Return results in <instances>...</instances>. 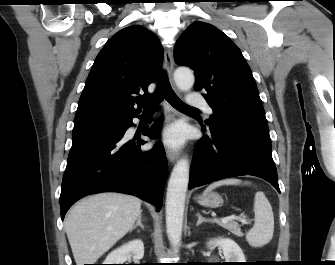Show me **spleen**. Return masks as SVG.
Masks as SVG:
<instances>
[{
	"instance_id": "3e777b00",
	"label": "spleen",
	"mask_w": 335,
	"mask_h": 265,
	"mask_svg": "<svg viewBox=\"0 0 335 265\" xmlns=\"http://www.w3.org/2000/svg\"><path fill=\"white\" fill-rule=\"evenodd\" d=\"M242 181L236 178L220 180L210 184L204 194L222 185H237ZM254 226L247 232L246 240L252 247H262L270 242L274 232V216L271 204L263 192H257L254 199Z\"/></svg>"
}]
</instances>
